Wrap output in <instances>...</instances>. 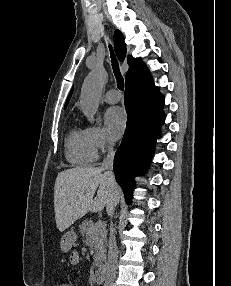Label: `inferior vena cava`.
Listing matches in <instances>:
<instances>
[{"instance_id": "602c4592", "label": "inferior vena cava", "mask_w": 231, "mask_h": 286, "mask_svg": "<svg viewBox=\"0 0 231 286\" xmlns=\"http://www.w3.org/2000/svg\"><path fill=\"white\" fill-rule=\"evenodd\" d=\"M114 144L112 142L108 143L107 149L108 153L104 158L101 169L105 170V176L111 183H115V177L113 173V161H114ZM114 209L108 207V215L113 214ZM117 270V245L115 240V235L113 229L110 231L109 245H108V259L106 263V279L104 286H115L114 281L116 277Z\"/></svg>"}]
</instances>
